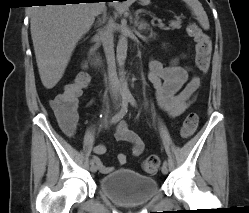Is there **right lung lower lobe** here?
<instances>
[{"mask_svg":"<svg viewBox=\"0 0 249 213\" xmlns=\"http://www.w3.org/2000/svg\"><path fill=\"white\" fill-rule=\"evenodd\" d=\"M45 2L43 3H54V4H66V3H78L81 1H97V0H44ZM104 1H114V0H104ZM123 1V0H119ZM125 1V0H124ZM93 3V2H92Z\"/></svg>","mask_w":249,"mask_h":213,"instance_id":"1","label":"right lung lower lobe"}]
</instances>
